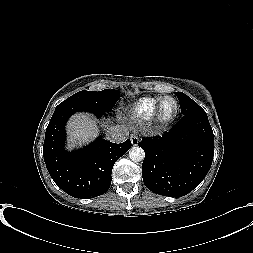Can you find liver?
Wrapping results in <instances>:
<instances>
[{"label":"liver","mask_w":253,"mask_h":253,"mask_svg":"<svg viewBox=\"0 0 253 253\" xmlns=\"http://www.w3.org/2000/svg\"><path fill=\"white\" fill-rule=\"evenodd\" d=\"M69 148L93 140L99 133L96 121L86 113H76L67 124Z\"/></svg>","instance_id":"liver-1"}]
</instances>
